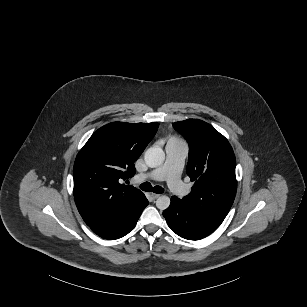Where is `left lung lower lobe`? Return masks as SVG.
I'll return each instance as SVG.
<instances>
[{"label":"left lung lower lobe","mask_w":307,"mask_h":307,"mask_svg":"<svg viewBox=\"0 0 307 307\" xmlns=\"http://www.w3.org/2000/svg\"><path fill=\"white\" fill-rule=\"evenodd\" d=\"M163 215L173 232L189 240L202 239L218 227L200 218L175 196L171 198V204L164 210Z\"/></svg>","instance_id":"obj_1"}]
</instances>
